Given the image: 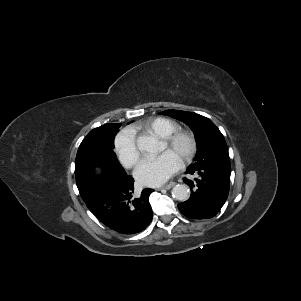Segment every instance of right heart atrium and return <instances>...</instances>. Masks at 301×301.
Listing matches in <instances>:
<instances>
[{
  "label": "right heart atrium",
  "instance_id": "right-heart-atrium-1",
  "mask_svg": "<svg viewBox=\"0 0 301 301\" xmlns=\"http://www.w3.org/2000/svg\"><path fill=\"white\" fill-rule=\"evenodd\" d=\"M114 149L120 162L127 168L136 166L140 153L136 144L134 132L127 128L120 131L114 140Z\"/></svg>",
  "mask_w": 301,
  "mask_h": 301
}]
</instances>
